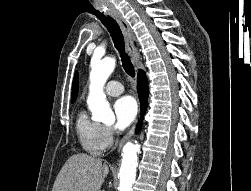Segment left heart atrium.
Masks as SVG:
<instances>
[{"label": "left heart atrium", "instance_id": "1", "mask_svg": "<svg viewBox=\"0 0 251 191\" xmlns=\"http://www.w3.org/2000/svg\"><path fill=\"white\" fill-rule=\"evenodd\" d=\"M115 128L124 130L135 120L138 112L137 103L131 97H122L118 99L114 106Z\"/></svg>", "mask_w": 251, "mask_h": 191}]
</instances>
